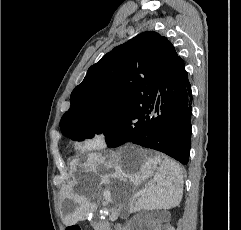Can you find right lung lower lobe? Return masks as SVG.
<instances>
[{"label":"right lung lower lobe","instance_id":"1","mask_svg":"<svg viewBox=\"0 0 241 230\" xmlns=\"http://www.w3.org/2000/svg\"><path fill=\"white\" fill-rule=\"evenodd\" d=\"M191 114V85L184 61L180 58L163 76L157 94L147 104L149 122L146 127L123 142L161 151L187 164L191 145Z\"/></svg>","mask_w":241,"mask_h":230}]
</instances>
